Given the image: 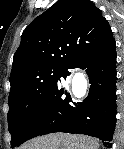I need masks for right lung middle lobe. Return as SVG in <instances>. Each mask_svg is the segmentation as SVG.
Instances as JSON below:
<instances>
[{"mask_svg":"<svg viewBox=\"0 0 124 149\" xmlns=\"http://www.w3.org/2000/svg\"><path fill=\"white\" fill-rule=\"evenodd\" d=\"M63 68H44L28 74L11 88L8 129L11 146H17L28 123L61 76Z\"/></svg>","mask_w":124,"mask_h":149,"instance_id":"dd1d6c3e","label":"right lung middle lobe"}]
</instances>
